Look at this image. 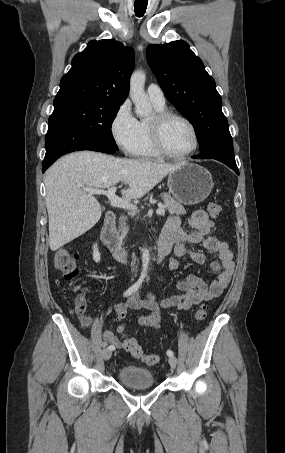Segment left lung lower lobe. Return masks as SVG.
Listing matches in <instances>:
<instances>
[{
  "label": "left lung lower lobe",
  "mask_w": 285,
  "mask_h": 453,
  "mask_svg": "<svg viewBox=\"0 0 285 453\" xmlns=\"http://www.w3.org/2000/svg\"><path fill=\"white\" fill-rule=\"evenodd\" d=\"M193 158L218 160L227 165L228 167H230L232 170L235 171L236 174L239 175V170L235 162L233 149L226 147L211 148L207 151L201 152L199 155L193 156Z\"/></svg>",
  "instance_id": "obj_1"
}]
</instances>
